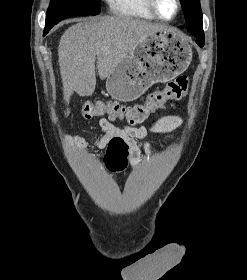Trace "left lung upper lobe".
Returning <instances> with one entry per match:
<instances>
[{
    "instance_id": "left-lung-upper-lobe-1",
    "label": "left lung upper lobe",
    "mask_w": 247,
    "mask_h": 280,
    "mask_svg": "<svg viewBox=\"0 0 247 280\" xmlns=\"http://www.w3.org/2000/svg\"><path fill=\"white\" fill-rule=\"evenodd\" d=\"M185 13L187 29L204 36L200 0H181Z\"/></svg>"
}]
</instances>
